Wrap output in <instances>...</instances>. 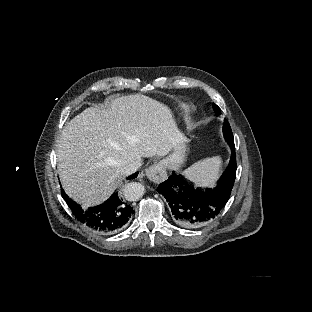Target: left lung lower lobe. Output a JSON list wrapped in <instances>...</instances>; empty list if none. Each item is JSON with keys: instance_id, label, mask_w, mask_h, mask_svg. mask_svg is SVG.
<instances>
[{"instance_id": "left-lung-lower-lobe-1", "label": "left lung lower lobe", "mask_w": 312, "mask_h": 312, "mask_svg": "<svg viewBox=\"0 0 312 312\" xmlns=\"http://www.w3.org/2000/svg\"><path fill=\"white\" fill-rule=\"evenodd\" d=\"M229 145L232 150L231 160L215 188H195L175 173L159 185L157 191L168 202L173 222L185 228L200 229L220 213L230 197L236 177L235 146L232 143Z\"/></svg>"}]
</instances>
